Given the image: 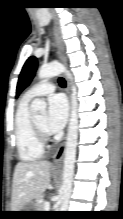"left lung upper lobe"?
<instances>
[{
	"mask_svg": "<svg viewBox=\"0 0 123 219\" xmlns=\"http://www.w3.org/2000/svg\"><path fill=\"white\" fill-rule=\"evenodd\" d=\"M37 69V59L31 56L24 64L19 76L16 95L18 96L31 82Z\"/></svg>",
	"mask_w": 123,
	"mask_h": 219,
	"instance_id": "1",
	"label": "left lung upper lobe"
}]
</instances>
